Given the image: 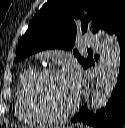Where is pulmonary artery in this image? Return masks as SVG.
Returning a JSON list of instances; mask_svg holds the SVG:
<instances>
[{"label":"pulmonary artery","mask_w":125,"mask_h":128,"mask_svg":"<svg viewBox=\"0 0 125 128\" xmlns=\"http://www.w3.org/2000/svg\"><path fill=\"white\" fill-rule=\"evenodd\" d=\"M86 45L88 47L99 48L101 46V41L99 38H97L94 35H87L86 36Z\"/></svg>","instance_id":"pulmonary-artery-1"}]
</instances>
